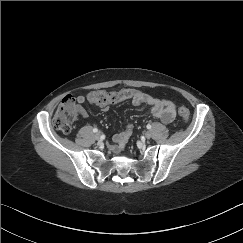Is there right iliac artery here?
<instances>
[{"label": "right iliac artery", "instance_id": "1", "mask_svg": "<svg viewBox=\"0 0 243 243\" xmlns=\"http://www.w3.org/2000/svg\"><path fill=\"white\" fill-rule=\"evenodd\" d=\"M93 132H94V133H97V132H98V129H97V128H94V129H93Z\"/></svg>", "mask_w": 243, "mask_h": 243}]
</instances>
